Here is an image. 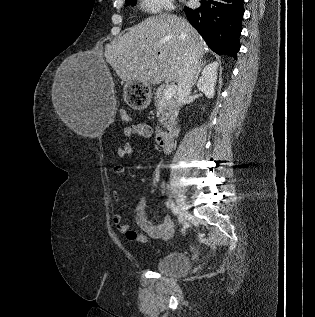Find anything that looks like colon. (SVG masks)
<instances>
[{
    "instance_id": "5ec220e1",
    "label": "colon",
    "mask_w": 315,
    "mask_h": 317,
    "mask_svg": "<svg viewBox=\"0 0 315 317\" xmlns=\"http://www.w3.org/2000/svg\"><path fill=\"white\" fill-rule=\"evenodd\" d=\"M123 119L126 121H129L130 119L129 116L125 112H123Z\"/></svg>"
}]
</instances>
